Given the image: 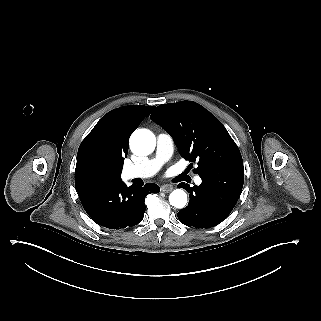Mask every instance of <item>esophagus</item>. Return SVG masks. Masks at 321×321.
<instances>
[{"mask_svg": "<svg viewBox=\"0 0 321 321\" xmlns=\"http://www.w3.org/2000/svg\"><path fill=\"white\" fill-rule=\"evenodd\" d=\"M173 190V186L171 184H164L161 186V191L163 193H169Z\"/></svg>", "mask_w": 321, "mask_h": 321, "instance_id": "1", "label": "esophagus"}]
</instances>
